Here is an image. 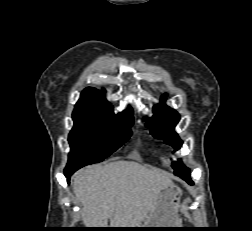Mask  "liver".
<instances>
[{
    "label": "liver",
    "mask_w": 252,
    "mask_h": 231,
    "mask_svg": "<svg viewBox=\"0 0 252 231\" xmlns=\"http://www.w3.org/2000/svg\"><path fill=\"white\" fill-rule=\"evenodd\" d=\"M169 176L133 161H115L81 170L73 191L87 228H137L154 207Z\"/></svg>",
    "instance_id": "obj_1"
}]
</instances>
